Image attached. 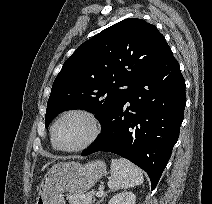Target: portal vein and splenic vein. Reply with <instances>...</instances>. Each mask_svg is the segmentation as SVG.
<instances>
[{
    "label": "portal vein and splenic vein",
    "mask_w": 212,
    "mask_h": 204,
    "mask_svg": "<svg viewBox=\"0 0 212 204\" xmlns=\"http://www.w3.org/2000/svg\"><path fill=\"white\" fill-rule=\"evenodd\" d=\"M104 194V191L101 189V190H99L98 192H96V196L97 197H100V196H102Z\"/></svg>",
    "instance_id": "portal-vein-and-splenic-vein-1"
}]
</instances>
